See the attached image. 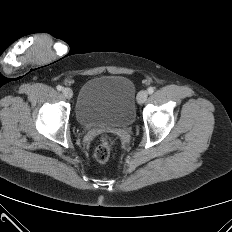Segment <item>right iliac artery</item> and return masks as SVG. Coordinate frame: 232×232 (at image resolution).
Segmentation results:
<instances>
[{"mask_svg": "<svg viewBox=\"0 0 232 232\" xmlns=\"http://www.w3.org/2000/svg\"><path fill=\"white\" fill-rule=\"evenodd\" d=\"M56 88H57L58 91H61L63 89V87L60 86V85H58Z\"/></svg>", "mask_w": 232, "mask_h": 232, "instance_id": "82829eb1", "label": "right iliac artery"}]
</instances>
